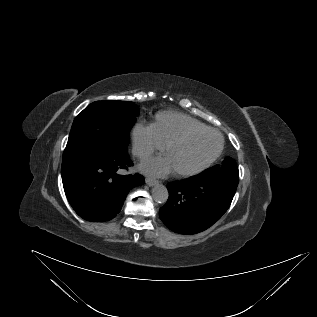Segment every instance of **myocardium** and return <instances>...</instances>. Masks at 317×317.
I'll return each instance as SVG.
<instances>
[{
	"instance_id": "1",
	"label": "myocardium",
	"mask_w": 317,
	"mask_h": 317,
	"mask_svg": "<svg viewBox=\"0 0 317 317\" xmlns=\"http://www.w3.org/2000/svg\"><path fill=\"white\" fill-rule=\"evenodd\" d=\"M214 132L216 133L219 138H220V143L219 146L217 148V150L208 158L206 159L204 162H202L201 164H199L198 166L188 169V170H182V171H173V174L177 177H188V176H193L196 175L202 171H204L206 168H208L213 162H215V160L220 156V154L223 151L224 148V137L223 135L215 128L212 127H201V128H190L187 129L185 131H183L182 133H180L179 135L173 137L172 139H170L169 141H167L165 143V145L163 146V152L164 154L171 149L172 147L181 144L182 142H184L186 139H188L190 136L198 134V133H202V132Z\"/></svg>"
}]
</instances>
